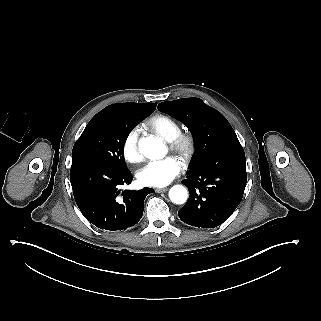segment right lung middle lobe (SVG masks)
I'll return each mask as SVG.
<instances>
[{"label": "right lung middle lobe", "instance_id": "obj_1", "mask_svg": "<svg viewBox=\"0 0 321 321\" xmlns=\"http://www.w3.org/2000/svg\"><path fill=\"white\" fill-rule=\"evenodd\" d=\"M142 120H122L104 110L87 124L72 150V164L93 163L127 170L124 144L131 130Z\"/></svg>", "mask_w": 321, "mask_h": 321}]
</instances>
